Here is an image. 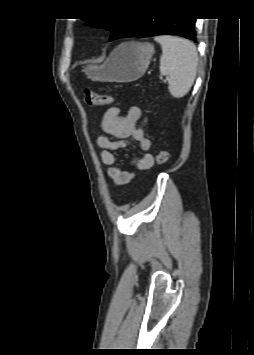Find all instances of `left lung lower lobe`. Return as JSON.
Instances as JSON below:
<instances>
[{
  "label": "left lung lower lobe",
  "mask_w": 254,
  "mask_h": 355,
  "mask_svg": "<svg viewBox=\"0 0 254 355\" xmlns=\"http://www.w3.org/2000/svg\"><path fill=\"white\" fill-rule=\"evenodd\" d=\"M178 35L196 41L194 18H135L129 29L120 37H150Z\"/></svg>",
  "instance_id": "obj_1"
}]
</instances>
